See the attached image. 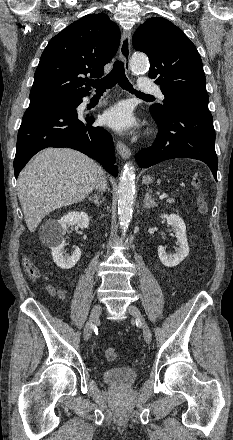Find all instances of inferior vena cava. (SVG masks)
<instances>
[{"mask_svg":"<svg viewBox=\"0 0 233 440\" xmlns=\"http://www.w3.org/2000/svg\"><path fill=\"white\" fill-rule=\"evenodd\" d=\"M106 185H107V182H106L105 178L103 176H101L99 178L97 185H96V188H98L101 191H104L106 189Z\"/></svg>","mask_w":233,"mask_h":440,"instance_id":"1","label":"inferior vena cava"}]
</instances>
